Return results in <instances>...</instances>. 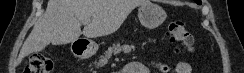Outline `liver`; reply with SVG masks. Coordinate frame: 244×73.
<instances>
[{
  "label": "liver",
  "instance_id": "liver-1",
  "mask_svg": "<svg viewBox=\"0 0 244 73\" xmlns=\"http://www.w3.org/2000/svg\"><path fill=\"white\" fill-rule=\"evenodd\" d=\"M146 0H49L46 11L24 42L18 60L43 50L50 43L62 45L117 31L131 11ZM90 19L83 31L81 24Z\"/></svg>",
  "mask_w": 244,
  "mask_h": 73
}]
</instances>
